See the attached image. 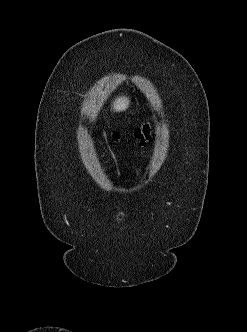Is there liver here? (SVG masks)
<instances>
[{
	"instance_id": "6515ba94",
	"label": "liver",
	"mask_w": 247,
	"mask_h": 332,
	"mask_svg": "<svg viewBox=\"0 0 247 332\" xmlns=\"http://www.w3.org/2000/svg\"><path fill=\"white\" fill-rule=\"evenodd\" d=\"M130 100L127 97H119L113 102V109L116 112L125 111L129 106Z\"/></svg>"
}]
</instances>
